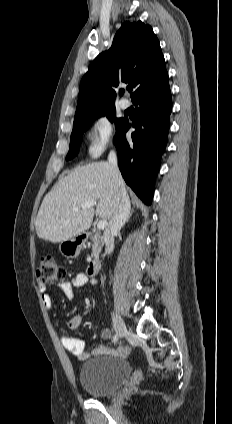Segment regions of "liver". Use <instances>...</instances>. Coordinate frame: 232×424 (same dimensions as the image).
<instances>
[{
  "instance_id": "liver-1",
  "label": "liver",
  "mask_w": 232,
  "mask_h": 424,
  "mask_svg": "<svg viewBox=\"0 0 232 424\" xmlns=\"http://www.w3.org/2000/svg\"><path fill=\"white\" fill-rule=\"evenodd\" d=\"M117 188L126 192L122 177L120 181L113 177L108 162L77 167L44 197L35 222L38 237L59 243L88 230L94 214L110 220ZM91 200L97 201L96 209L73 210Z\"/></svg>"
}]
</instances>
